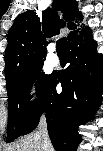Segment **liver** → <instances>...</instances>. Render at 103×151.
I'll list each match as a JSON object with an SVG mask.
<instances>
[{"label":"liver","instance_id":"liver-1","mask_svg":"<svg viewBox=\"0 0 103 151\" xmlns=\"http://www.w3.org/2000/svg\"><path fill=\"white\" fill-rule=\"evenodd\" d=\"M6 151H53V148L50 143L44 148L42 136L37 132L21 139L16 144L8 147Z\"/></svg>","mask_w":103,"mask_h":151}]
</instances>
